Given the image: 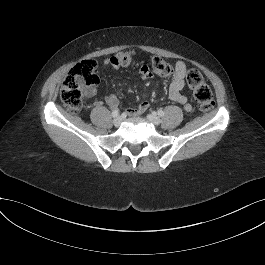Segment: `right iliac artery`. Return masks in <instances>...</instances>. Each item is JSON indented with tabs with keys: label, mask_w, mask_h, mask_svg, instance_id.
Segmentation results:
<instances>
[{
	"label": "right iliac artery",
	"mask_w": 265,
	"mask_h": 265,
	"mask_svg": "<svg viewBox=\"0 0 265 265\" xmlns=\"http://www.w3.org/2000/svg\"><path fill=\"white\" fill-rule=\"evenodd\" d=\"M119 114V111L117 109L112 111V117H117Z\"/></svg>",
	"instance_id": "obj_1"
}]
</instances>
